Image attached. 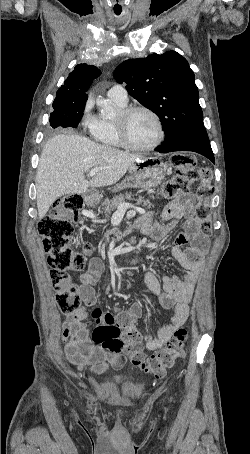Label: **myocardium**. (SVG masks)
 <instances>
[{"instance_id":"1","label":"myocardium","mask_w":250,"mask_h":454,"mask_svg":"<svg viewBox=\"0 0 250 454\" xmlns=\"http://www.w3.org/2000/svg\"><path fill=\"white\" fill-rule=\"evenodd\" d=\"M136 112H145L149 114L155 121L157 130H158V136L157 138L148 146L140 147L137 145H134L128 135V120L129 118ZM115 126L117 130V134L119 137V140L125 148L135 151V152H149L154 149H156L163 141L165 138V131H164V126L162 123V120L160 116L151 108L142 106V105H136V106H129L125 107L123 109H120L115 117Z\"/></svg>"}]
</instances>
